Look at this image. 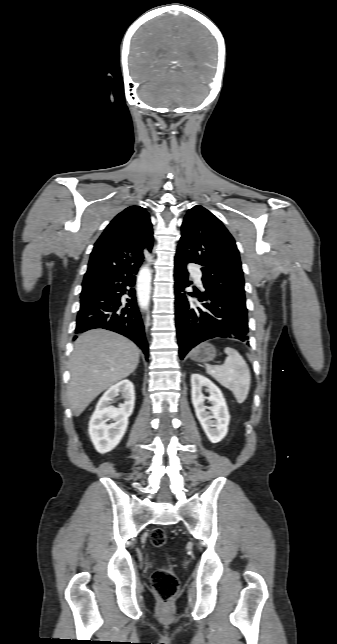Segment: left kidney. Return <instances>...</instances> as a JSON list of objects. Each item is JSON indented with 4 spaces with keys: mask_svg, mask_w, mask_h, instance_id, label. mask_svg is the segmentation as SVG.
<instances>
[{
    "mask_svg": "<svg viewBox=\"0 0 337 644\" xmlns=\"http://www.w3.org/2000/svg\"><path fill=\"white\" fill-rule=\"evenodd\" d=\"M191 387L192 404L197 419L208 439L212 443L220 442L228 432L230 421L228 407L221 390L211 380L201 374L191 375ZM203 387L210 394L209 397L203 395ZM205 399H208L212 406L206 407Z\"/></svg>",
    "mask_w": 337,
    "mask_h": 644,
    "instance_id": "1",
    "label": "left kidney"
}]
</instances>
